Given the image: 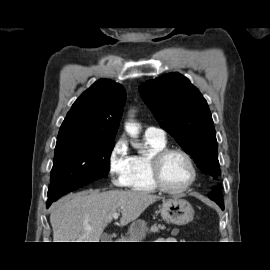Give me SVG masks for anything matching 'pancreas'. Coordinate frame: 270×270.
Wrapping results in <instances>:
<instances>
[{"mask_svg": "<svg viewBox=\"0 0 270 270\" xmlns=\"http://www.w3.org/2000/svg\"><path fill=\"white\" fill-rule=\"evenodd\" d=\"M159 229H165V226L164 225H153L151 228H150V232H158ZM178 233V230H173L172 231V235H176Z\"/></svg>", "mask_w": 270, "mask_h": 270, "instance_id": "obj_1", "label": "pancreas"}]
</instances>
